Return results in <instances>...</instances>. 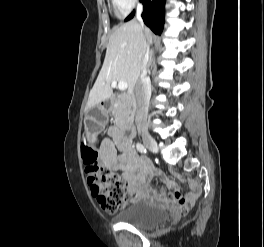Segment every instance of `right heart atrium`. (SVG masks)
<instances>
[{
	"instance_id": "d8ad5b80",
	"label": "right heart atrium",
	"mask_w": 264,
	"mask_h": 247,
	"mask_svg": "<svg viewBox=\"0 0 264 247\" xmlns=\"http://www.w3.org/2000/svg\"><path fill=\"white\" fill-rule=\"evenodd\" d=\"M140 0H112L113 6L120 16L128 14Z\"/></svg>"
}]
</instances>
